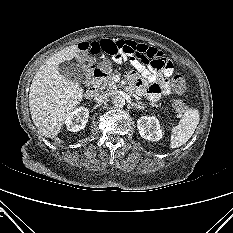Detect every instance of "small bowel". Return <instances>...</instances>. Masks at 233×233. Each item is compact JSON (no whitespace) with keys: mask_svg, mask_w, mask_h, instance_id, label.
<instances>
[{"mask_svg":"<svg viewBox=\"0 0 233 233\" xmlns=\"http://www.w3.org/2000/svg\"><path fill=\"white\" fill-rule=\"evenodd\" d=\"M78 48L84 61L100 53L111 55L116 63L129 61L137 70L128 73L132 89L153 102L171 92L168 78L173 73V64L156 48L131 40L112 39L81 42Z\"/></svg>","mask_w":233,"mask_h":233,"instance_id":"1","label":"small bowel"}]
</instances>
